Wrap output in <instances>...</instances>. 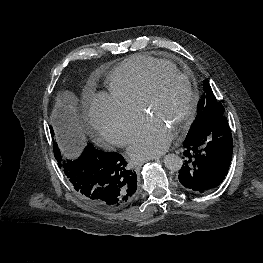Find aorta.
I'll list each match as a JSON object with an SVG mask.
<instances>
[{
  "label": "aorta",
  "mask_w": 263,
  "mask_h": 263,
  "mask_svg": "<svg viewBox=\"0 0 263 263\" xmlns=\"http://www.w3.org/2000/svg\"><path fill=\"white\" fill-rule=\"evenodd\" d=\"M164 164L170 171H179L182 167L183 160L176 154H167L164 157Z\"/></svg>",
  "instance_id": "1"
}]
</instances>
